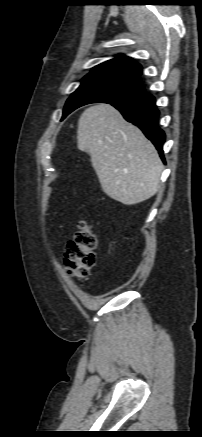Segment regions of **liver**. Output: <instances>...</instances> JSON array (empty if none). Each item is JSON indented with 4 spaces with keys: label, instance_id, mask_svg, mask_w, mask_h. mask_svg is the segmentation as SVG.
<instances>
[{
    "label": "liver",
    "instance_id": "obj_1",
    "mask_svg": "<svg viewBox=\"0 0 202 437\" xmlns=\"http://www.w3.org/2000/svg\"><path fill=\"white\" fill-rule=\"evenodd\" d=\"M78 148L88 152L101 187L110 198L135 205L159 187L163 164L154 145L113 106L87 108L77 129Z\"/></svg>",
    "mask_w": 202,
    "mask_h": 437
}]
</instances>
